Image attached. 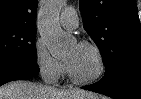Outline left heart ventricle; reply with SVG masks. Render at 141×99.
I'll list each match as a JSON object with an SVG mask.
<instances>
[{"label":"left heart ventricle","mask_w":141,"mask_h":99,"mask_svg":"<svg viewBox=\"0 0 141 99\" xmlns=\"http://www.w3.org/2000/svg\"><path fill=\"white\" fill-rule=\"evenodd\" d=\"M65 60L69 63L74 74L79 78H90L99 69L97 56L88 47L79 45L71 47Z\"/></svg>","instance_id":"b2bd125f"}]
</instances>
